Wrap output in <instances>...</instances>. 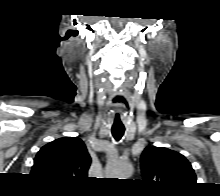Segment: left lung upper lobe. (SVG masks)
<instances>
[{
	"label": "left lung upper lobe",
	"instance_id": "5c2ea615",
	"mask_svg": "<svg viewBox=\"0 0 220 196\" xmlns=\"http://www.w3.org/2000/svg\"><path fill=\"white\" fill-rule=\"evenodd\" d=\"M141 169L145 182L161 192L181 193L196 183L189 161L167 148H145L141 155Z\"/></svg>",
	"mask_w": 220,
	"mask_h": 196
}]
</instances>
